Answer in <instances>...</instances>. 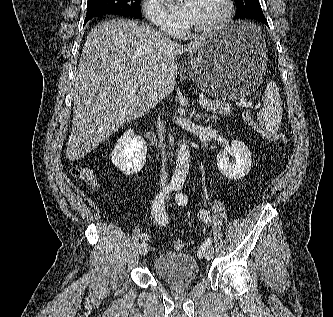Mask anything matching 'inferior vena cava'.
<instances>
[{
    "mask_svg": "<svg viewBox=\"0 0 333 317\" xmlns=\"http://www.w3.org/2000/svg\"><path fill=\"white\" fill-rule=\"evenodd\" d=\"M157 133H158L160 145H161V148H162V153H161L162 168H161V171H160V184L162 186H165L167 181H168L167 155H166V152H165V133H166V130H165L164 122H163V117L161 119V114H160V116L158 115Z\"/></svg>",
    "mask_w": 333,
    "mask_h": 317,
    "instance_id": "602c4592",
    "label": "inferior vena cava"
}]
</instances>
